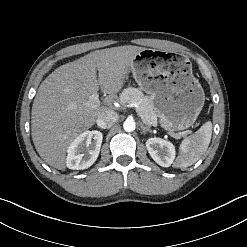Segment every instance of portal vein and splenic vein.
Here are the masks:
<instances>
[{
	"instance_id": "portal-vein-and-splenic-vein-1",
	"label": "portal vein and splenic vein",
	"mask_w": 247,
	"mask_h": 247,
	"mask_svg": "<svg viewBox=\"0 0 247 247\" xmlns=\"http://www.w3.org/2000/svg\"><path fill=\"white\" fill-rule=\"evenodd\" d=\"M100 101H99V94L98 93H94L92 95L89 96V100H88V105L92 106V107H97L99 105ZM138 110V108H137ZM138 115L141 117L142 121L145 122V120L143 119V116L140 114L139 110H138ZM146 124L150 125L151 123L147 122ZM170 136L178 139L179 136L175 133H170Z\"/></svg>"
}]
</instances>
